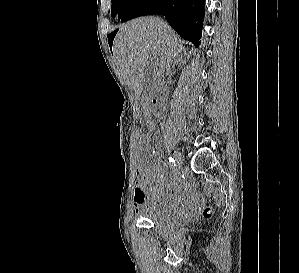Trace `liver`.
<instances>
[{
  "label": "liver",
  "mask_w": 299,
  "mask_h": 273,
  "mask_svg": "<svg viewBox=\"0 0 299 273\" xmlns=\"http://www.w3.org/2000/svg\"><path fill=\"white\" fill-rule=\"evenodd\" d=\"M182 44L175 31L161 19L141 17L119 27L113 54L121 75L140 96L149 54H154L159 59V69L165 70L175 57L185 52Z\"/></svg>",
  "instance_id": "liver-1"
}]
</instances>
